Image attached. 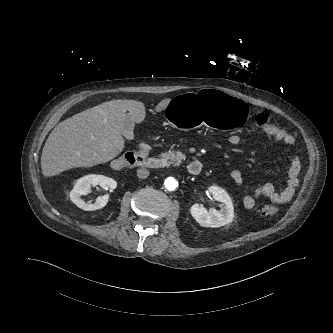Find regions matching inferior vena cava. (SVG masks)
<instances>
[{
	"label": "inferior vena cava",
	"instance_id": "inferior-vena-cava-1",
	"mask_svg": "<svg viewBox=\"0 0 333 333\" xmlns=\"http://www.w3.org/2000/svg\"><path fill=\"white\" fill-rule=\"evenodd\" d=\"M137 176L141 179H145L149 176V171L145 168L137 170Z\"/></svg>",
	"mask_w": 333,
	"mask_h": 333
}]
</instances>
